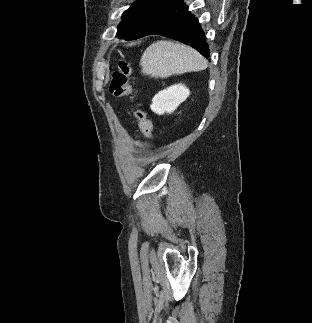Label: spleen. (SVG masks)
<instances>
[{"label": "spleen", "instance_id": "spleen-1", "mask_svg": "<svg viewBox=\"0 0 312 323\" xmlns=\"http://www.w3.org/2000/svg\"><path fill=\"white\" fill-rule=\"evenodd\" d=\"M140 66L146 76L168 78L173 74L201 72L207 68V60L190 46L160 40L145 50Z\"/></svg>", "mask_w": 312, "mask_h": 323}]
</instances>
